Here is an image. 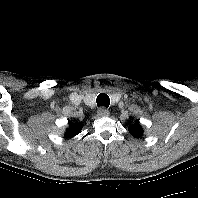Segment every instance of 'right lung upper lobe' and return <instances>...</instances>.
I'll return each mask as SVG.
<instances>
[{
	"instance_id": "cb5924a9",
	"label": "right lung upper lobe",
	"mask_w": 198,
	"mask_h": 198,
	"mask_svg": "<svg viewBox=\"0 0 198 198\" xmlns=\"http://www.w3.org/2000/svg\"><path fill=\"white\" fill-rule=\"evenodd\" d=\"M83 125L81 123H69V128L65 132V137H74L82 129Z\"/></svg>"
}]
</instances>
